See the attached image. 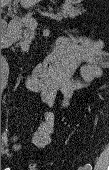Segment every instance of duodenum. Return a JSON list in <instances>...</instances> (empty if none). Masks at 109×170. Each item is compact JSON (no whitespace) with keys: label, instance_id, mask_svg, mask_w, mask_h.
I'll return each instance as SVG.
<instances>
[{"label":"duodenum","instance_id":"duodenum-1","mask_svg":"<svg viewBox=\"0 0 109 170\" xmlns=\"http://www.w3.org/2000/svg\"><path fill=\"white\" fill-rule=\"evenodd\" d=\"M16 24H11L9 32L5 33L2 38V46L8 48L11 43V32L14 31ZM73 50V45L67 38H61L58 41L55 54L44 61L38 63L33 71L28 75L26 79V85L29 90L39 92L47 91L54 88V82L49 76L57 62H67L71 65L77 62V58L74 54L67 55L68 52Z\"/></svg>","mask_w":109,"mask_h":170}]
</instances>
